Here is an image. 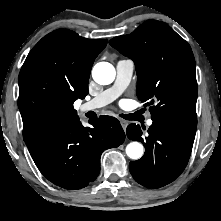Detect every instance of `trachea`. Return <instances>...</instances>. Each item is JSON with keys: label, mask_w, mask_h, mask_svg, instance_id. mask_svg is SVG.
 <instances>
[{"label": "trachea", "mask_w": 221, "mask_h": 221, "mask_svg": "<svg viewBox=\"0 0 221 221\" xmlns=\"http://www.w3.org/2000/svg\"><path fill=\"white\" fill-rule=\"evenodd\" d=\"M121 117H123V118H125V119H127V115H120Z\"/></svg>", "instance_id": "3493384b"}]
</instances>
